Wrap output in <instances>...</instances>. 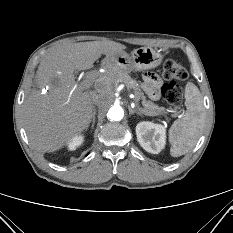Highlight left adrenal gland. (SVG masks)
<instances>
[{
  "mask_svg": "<svg viewBox=\"0 0 233 233\" xmlns=\"http://www.w3.org/2000/svg\"><path fill=\"white\" fill-rule=\"evenodd\" d=\"M129 109V115H133V114H137V115H142L143 114V110L138 108V109H132L130 106H128Z\"/></svg>",
  "mask_w": 233,
  "mask_h": 233,
  "instance_id": "a2214340",
  "label": "left adrenal gland"
}]
</instances>
